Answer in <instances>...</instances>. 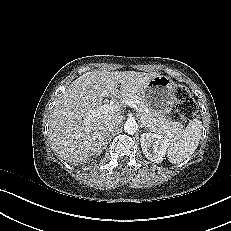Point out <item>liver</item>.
<instances>
[{"label": "liver", "instance_id": "6515ba94", "mask_svg": "<svg viewBox=\"0 0 231 231\" xmlns=\"http://www.w3.org/2000/svg\"><path fill=\"white\" fill-rule=\"evenodd\" d=\"M157 75L156 72L89 71L77 78L60 96L51 113L49 138L53 151L70 163H85L99 155L107 135L105 122L121 116L114 111L90 117L97 109L98 100L140 94Z\"/></svg>", "mask_w": 231, "mask_h": 231}]
</instances>
